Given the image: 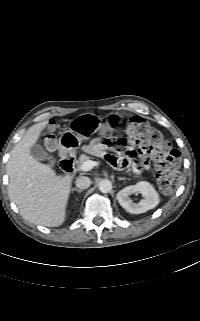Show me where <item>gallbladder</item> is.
<instances>
[{"label": "gallbladder", "instance_id": "gallbladder-1", "mask_svg": "<svg viewBox=\"0 0 200 321\" xmlns=\"http://www.w3.org/2000/svg\"><path fill=\"white\" fill-rule=\"evenodd\" d=\"M31 156L38 160V161H44L48 159V153L44 150V148L41 145L34 144L30 149Z\"/></svg>", "mask_w": 200, "mask_h": 321}]
</instances>
